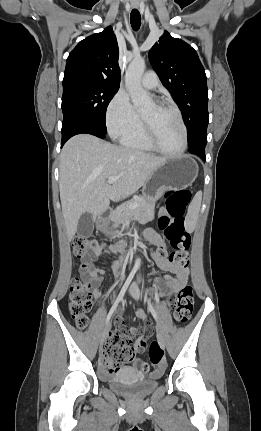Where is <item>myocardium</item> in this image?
Here are the masks:
<instances>
[{
  "label": "myocardium",
  "mask_w": 261,
  "mask_h": 431,
  "mask_svg": "<svg viewBox=\"0 0 261 431\" xmlns=\"http://www.w3.org/2000/svg\"><path fill=\"white\" fill-rule=\"evenodd\" d=\"M154 104L158 108L170 109L176 114V116L179 120L181 129H182V145H181L180 149L176 152H169V151L163 149L159 145V143L156 139V136H155V133H154V130H153L151 124L141 115V122H142L145 136H146L147 140L149 141V143L153 146V148L156 151H158L164 155H167L169 157H179L186 151L187 146H188V133H187V128H186L184 119L182 117V114H181L180 110L175 105L170 104L168 102L156 101V102H154Z\"/></svg>",
  "instance_id": "f54148a6"
}]
</instances>
